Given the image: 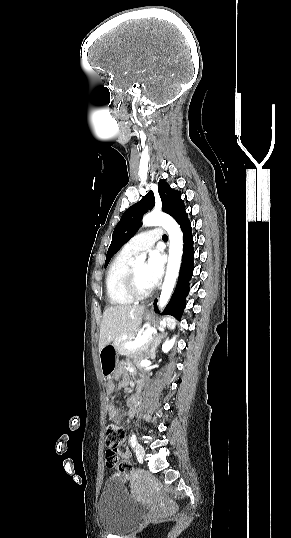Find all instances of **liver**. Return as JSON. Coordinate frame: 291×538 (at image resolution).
<instances>
[{"instance_id": "1", "label": "liver", "mask_w": 291, "mask_h": 538, "mask_svg": "<svg viewBox=\"0 0 291 538\" xmlns=\"http://www.w3.org/2000/svg\"><path fill=\"white\" fill-rule=\"evenodd\" d=\"M144 306L115 305L105 308L100 325L99 351L126 333L134 332L142 322Z\"/></svg>"}]
</instances>
